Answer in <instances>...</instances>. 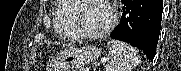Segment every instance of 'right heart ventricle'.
I'll return each instance as SVG.
<instances>
[{
	"label": "right heart ventricle",
	"mask_w": 181,
	"mask_h": 71,
	"mask_svg": "<svg viewBox=\"0 0 181 71\" xmlns=\"http://www.w3.org/2000/svg\"><path fill=\"white\" fill-rule=\"evenodd\" d=\"M73 6L71 3L58 0L55 7V30L64 39H77L70 26V15Z\"/></svg>",
	"instance_id": "obj_1"
}]
</instances>
